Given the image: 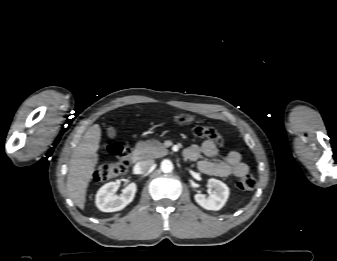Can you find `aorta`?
Here are the masks:
<instances>
[{"label": "aorta", "instance_id": "1", "mask_svg": "<svg viewBox=\"0 0 337 261\" xmlns=\"http://www.w3.org/2000/svg\"><path fill=\"white\" fill-rule=\"evenodd\" d=\"M160 167L164 173H170L173 170V164L168 159L163 160Z\"/></svg>", "mask_w": 337, "mask_h": 261}]
</instances>
